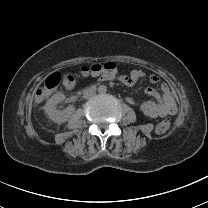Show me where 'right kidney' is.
I'll list each match as a JSON object with an SVG mask.
<instances>
[{
    "label": "right kidney",
    "instance_id": "ca27d5eb",
    "mask_svg": "<svg viewBox=\"0 0 208 208\" xmlns=\"http://www.w3.org/2000/svg\"><path fill=\"white\" fill-rule=\"evenodd\" d=\"M65 95L62 93L54 94L45 104L44 109L49 118L55 123H63L70 117L71 110L69 108L59 111L56 109V105L64 101Z\"/></svg>",
    "mask_w": 208,
    "mask_h": 208
}]
</instances>
